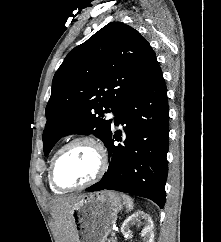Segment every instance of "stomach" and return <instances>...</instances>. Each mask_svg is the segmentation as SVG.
Masks as SVG:
<instances>
[{
    "label": "stomach",
    "mask_w": 221,
    "mask_h": 242,
    "mask_svg": "<svg viewBox=\"0 0 221 242\" xmlns=\"http://www.w3.org/2000/svg\"><path fill=\"white\" fill-rule=\"evenodd\" d=\"M122 206L120 196L112 191L84 195L71 207L74 242H105Z\"/></svg>",
    "instance_id": "1"
}]
</instances>
